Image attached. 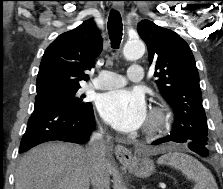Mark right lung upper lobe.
Segmentation results:
<instances>
[{"mask_svg":"<svg viewBox=\"0 0 223 189\" xmlns=\"http://www.w3.org/2000/svg\"><path fill=\"white\" fill-rule=\"evenodd\" d=\"M102 50V37L92 19L59 35L45 50L36 80V91L80 87L88 80L95 58Z\"/></svg>","mask_w":223,"mask_h":189,"instance_id":"1","label":"right lung upper lobe"}]
</instances>
